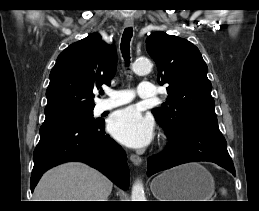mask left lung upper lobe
I'll use <instances>...</instances> for the list:
<instances>
[{"instance_id": "obj_1", "label": "left lung upper lobe", "mask_w": 259, "mask_h": 211, "mask_svg": "<svg viewBox=\"0 0 259 211\" xmlns=\"http://www.w3.org/2000/svg\"><path fill=\"white\" fill-rule=\"evenodd\" d=\"M146 48L158 69L157 81L167 87V102L152 110L168 137L190 125L219 129L208 68L198 48L186 39L155 32Z\"/></svg>"}]
</instances>
